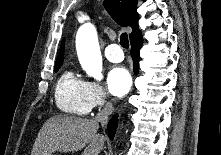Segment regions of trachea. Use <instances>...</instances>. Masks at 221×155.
Returning <instances> with one entry per match:
<instances>
[{"label": "trachea", "instance_id": "obj_1", "mask_svg": "<svg viewBox=\"0 0 221 155\" xmlns=\"http://www.w3.org/2000/svg\"><path fill=\"white\" fill-rule=\"evenodd\" d=\"M120 44L123 48H126V49L129 48L128 36L126 33H122V35L120 37Z\"/></svg>", "mask_w": 221, "mask_h": 155}]
</instances>
